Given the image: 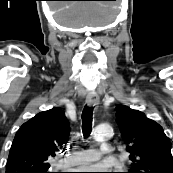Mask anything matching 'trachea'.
I'll use <instances>...</instances> for the list:
<instances>
[{"label": "trachea", "instance_id": "obj_1", "mask_svg": "<svg viewBox=\"0 0 173 173\" xmlns=\"http://www.w3.org/2000/svg\"><path fill=\"white\" fill-rule=\"evenodd\" d=\"M93 107L85 106L82 112V132L84 138L89 137L92 130Z\"/></svg>", "mask_w": 173, "mask_h": 173}]
</instances>
